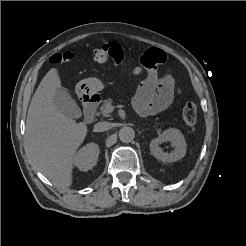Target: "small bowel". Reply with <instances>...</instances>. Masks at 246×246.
<instances>
[{
  "label": "small bowel",
  "mask_w": 246,
  "mask_h": 246,
  "mask_svg": "<svg viewBox=\"0 0 246 246\" xmlns=\"http://www.w3.org/2000/svg\"><path fill=\"white\" fill-rule=\"evenodd\" d=\"M112 44H116L112 42ZM119 46V45H118ZM167 56L164 51L152 48L147 50L140 59V66L135 73L145 69V77L135 94L133 104L138 114L149 116L167 109L174 100V83L170 75L162 78L157 75V66L164 63Z\"/></svg>",
  "instance_id": "obj_1"
}]
</instances>
